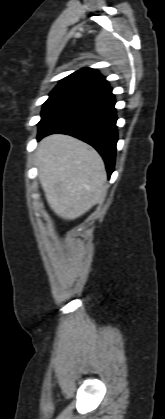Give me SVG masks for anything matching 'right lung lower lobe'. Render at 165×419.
<instances>
[{
    "label": "right lung lower lobe",
    "mask_w": 165,
    "mask_h": 419,
    "mask_svg": "<svg viewBox=\"0 0 165 419\" xmlns=\"http://www.w3.org/2000/svg\"><path fill=\"white\" fill-rule=\"evenodd\" d=\"M114 105L110 87L82 96L51 114L39 126L38 139L52 133H63L89 143L103 157L110 176L114 170L118 140Z\"/></svg>",
    "instance_id": "98d812e1"
}]
</instances>
